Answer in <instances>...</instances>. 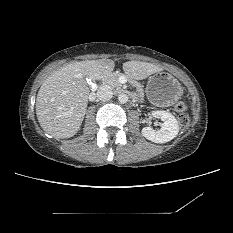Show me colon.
<instances>
[{
  "instance_id": "1",
  "label": "colon",
  "mask_w": 233,
  "mask_h": 233,
  "mask_svg": "<svg viewBox=\"0 0 233 233\" xmlns=\"http://www.w3.org/2000/svg\"><path fill=\"white\" fill-rule=\"evenodd\" d=\"M188 106L185 102L179 101L175 105V111L177 113V119L182 127H186L189 124V116L187 114Z\"/></svg>"
}]
</instances>
